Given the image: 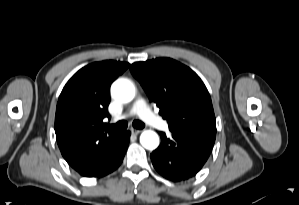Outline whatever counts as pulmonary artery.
Listing matches in <instances>:
<instances>
[{"instance_id":"e3ab8cb5","label":"pulmonary artery","mask_w":299,"mask_h":205,"mask_svg":"<svg viewBox=\"0 0 299 205\" xmlns=\"http://www.w3.org/2000/svg\"><path fill=\"white\" fill-rule=\"evenodd\" d=\"M131 115H138L144 122H146L148 125L167 131L168 130V123L164 120H162L160 117L155 115L148 105L146 104L145 100L143 99H137L135 103L133 104L131 110L126 116H131Z\"/></svg>"}]
</instances>
